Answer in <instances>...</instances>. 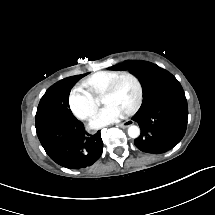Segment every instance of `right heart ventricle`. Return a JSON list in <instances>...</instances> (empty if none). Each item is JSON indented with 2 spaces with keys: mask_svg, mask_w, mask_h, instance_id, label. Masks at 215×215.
<instances>
[{
  "mask_svg": "<svg viewBox=\"0 0 215 215\" xmlns=\"http://www.w3.org/2000/svg\"><path fill=\"white\" fill-rule=\"evenodd\" d=\"M120 73L119 71H107V72H102L100 75L96 76L94 83L96 87L103 89L107 87L109 80L108 77L111 75H115Z\"/></svg>",
  "mask_w": 215,
  "mask_h": 215,
  "instance_id": "1",
  "label": "right heart ventricle"
}]
</instances>
